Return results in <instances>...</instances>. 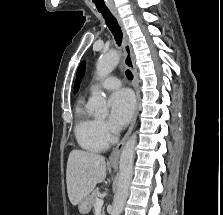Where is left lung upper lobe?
<instances>
[{
    "mask_svg": "<svg viewBox=\"0 0 223 215\" xmlns=\"http://www.w3.org/2000/svg\"><path fill=\"white\" fill-rule=\"evenodd\" d=\"M85 65H86V63H85V61H83L81 64H80V66H79V68H78V71H77V78H78V80L80 81V79L83 77V75H84V72H85Z\"/></svg>",
    "mask_w": 223,
    "mask_h": 215,
    "instance_id": "left-lung-upper-lobe-1",
    "label": "left lung upper lobe"
}]
</instances>
